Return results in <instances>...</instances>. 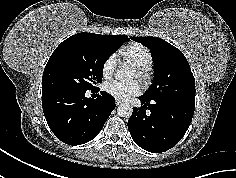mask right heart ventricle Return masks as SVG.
<instances>
[{"label": "right heart ventricle", "instance_id": "right-heart-ventricle-1", "mask_svg": "<svg viewBox=\"0 0 236 178\" xmlns=\"http://www.w3.org/2000/svg\"><path fill=\"white\" fill-rule=\"evenodd\" d=\"M121 57L135 66L150 68L153 65V57L148 48L142 44H131L120 51Z\"/></svg>", "mask_w": 236, "mask_h": 178}]
</instances>
